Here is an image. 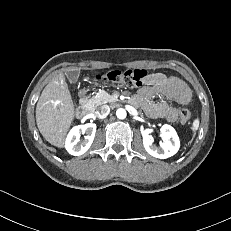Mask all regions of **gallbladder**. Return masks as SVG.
Wrapping results in <instances>:
<instances>
[{
    "instance_id": "1",
    "label": "gallbladder",
    "mask_w": 231,
    "mask_h": 231,
    "mask_svg": "<svg viewBox=\"0 0 231 231\" xmlns=\"http://www.w3.org/2000/svg\"><path fill=\"white\" fill-rule=\"evenodd\" d=\"M66 76L71 83H75L77 82L80 76V71L79 70H69L67 71Z\"/></svg>"
}]
</instances>
